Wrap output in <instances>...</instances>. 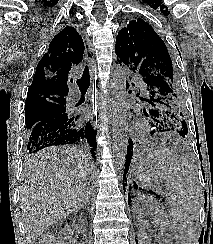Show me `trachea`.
Wrapping results in <instances>:
<instances>
[{
  "instance_id": "1",
  "label": "trachea",
  "mask_w": 213,
  "mask_h": 244,
  "mask_svg": "<svg viewBox=\"0 0 213 244\" xmlns=\"http://www.w3.org/2000/svg\"><path fill=\"white\" fill-rule=\"evenodd\" d=\"M77 84L82 93H85L90 86V73L88 66H85L82 77L77 80Z\"/></svg>"
}]
</instances>
